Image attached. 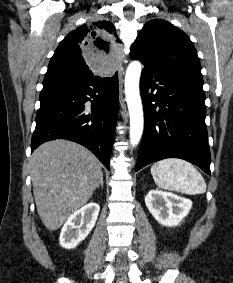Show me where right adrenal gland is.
Returning <instances> with one entry per match:
<instances>
[{"label":"right adrenal gland","mask_w":233,"mask_h":283,"mask_svg":"<svg viewBox=\"0 0 233 283\" xmlns=\"http://www.w3.org/2000/svg\"><path fill=\"white\" fill-rule=\"evenodd\" d=\"M100 186H101L102 188L104 187L103 174L101 175V179H100Z\"/></svg>","instance_id":"right-adrenal-gland-1"}]
</instances>
